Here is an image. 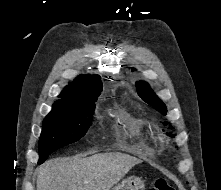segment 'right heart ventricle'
Returning <instances> with one entry per match:
<instances>
[{"instance_id":"e07e8e85","label":"right heart ventricle","mask_w":221,"mask_h":190,"mask_svg":"<svg viewBox=\"0 0 221 190\" xmlns=\"http://www.w3.org/2000/svg\"><path fill=\"white\" fill-rule=\"evenodd\" d=\"M123 125L126 130L139 138L141 141L145 140V135L142 134L140 127L131 114L125 113L123 115Z\"/></svg>"}]
</instances>
